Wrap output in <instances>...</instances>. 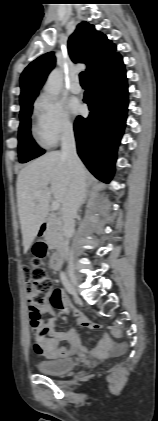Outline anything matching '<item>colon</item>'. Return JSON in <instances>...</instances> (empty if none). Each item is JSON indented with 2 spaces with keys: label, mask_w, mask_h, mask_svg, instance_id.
Instances as JSON below:
<instances>
[{
  "label": "colon",
  "mask_w": 158,
  "mask_h": 421,
  "mask_svg": "<svg viewBox=\"0 0 158 421\" xmlns=\"http://www.w3.org/2000/svg\"><path fill=\"white\" fill-rule=\"evenodd\" d=\"M45 253L43 243H38L34 247V254L37 259L33 266L23 268L26 289L28 293L30 320L33 324L40 320L39 308L46 305L52 296V281L46 271L39 266L38 259Z\"/></svg>",
  "instance_id": "obj_1"
}]
</instances>
